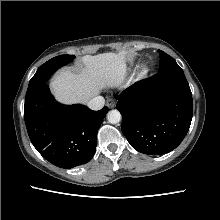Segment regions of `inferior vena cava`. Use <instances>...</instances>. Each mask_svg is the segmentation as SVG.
I'll return each instance as SVG.
<instances>
[{"instance_id": "obj_1", "label": "inferior vena cava", "mask_w": 220, "mask_h": 220, "mask_svg": "<svg viewBox=\"0 0 220 220\" xmlns=\"http://www.w3.org/2000/svg\"><path fill=\"white\" fill-rule=\"evenodd\" d=\"M104 104L105 99L102 96H96L87 103V106L91 110H100L101 108H103Z\"/></svg>"}]
</instances>
